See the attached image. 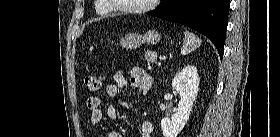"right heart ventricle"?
I'll return each mask as SVG.
<instances>
[{
	"label": "right heart ventricle",
	"instance_id": "e07e8e85",
	"mask_svg": "<svg viewBox=\"0 0 280 137\" xmlns=\"http://www.w3.org/2000/svg\"><path fill=\"white\" fill-rule=\"evenodd\" d=\"M94 11L100 16H106L111 12L105 0H95Z\"/></svg>",
	"mask_w": 280,
	"mask_h": 137
}]
</instances>
